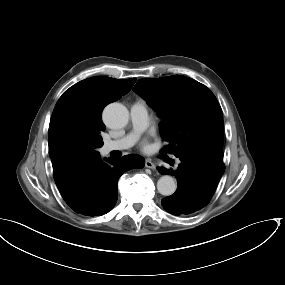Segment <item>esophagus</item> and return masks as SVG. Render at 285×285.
Instances as JSON below:
<instances>
[{
	"label": "esophagus",
	"instance_id": "esophagus-1",
	"mask_svg": "<svg viewBox=\"0 0 285 285\" xmlns=\"http://www.w3.org/2000/svg\"><path fill=\"white\" fill-rule=\"evenodd\" d=\"M145 166L147 168H150V169H155L156 168V165L150 159H146Z\"/></svg>",
	"mask_w": 285,
	"mask_h": 285
}]
</instances>
